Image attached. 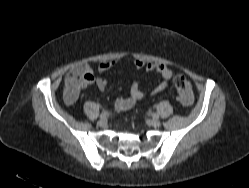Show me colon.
<instances>
[{"instance_id":"5ec220e1","label":"colon","mask_w":249,"mask_h":188,"mask_svg":"<svg viewBox=\"0 0 249 188\" xmlns=\"http://www.w3.org/2000/svg\"><path fill=\"white\" fill-rule=\"evenodd\" d=\"M70 75H77V70L72 69ZM174 87L178 93L179 101L184 106H190L193 103V91L190 82L183 75H176L173 80Z\"/></svg>"}]
</instances>
